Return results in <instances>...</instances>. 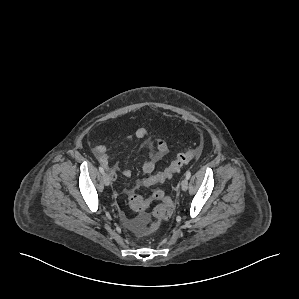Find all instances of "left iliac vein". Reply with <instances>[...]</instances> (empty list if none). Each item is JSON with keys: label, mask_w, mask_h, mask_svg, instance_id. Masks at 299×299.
Returning <instances> with one entry per match:
<instances>
[{"label": "left iliac vein", "mask_w": 299, "mask_h": 299, "mask_svg": "<svg viewBox=\"0 0 299 299\" xmlns=\"http://www.w3.org/2000/svg\"><path fill=\"white\" fill-rule=\"evenodd\" d=\"M188 188V179L187 178H184L181 182V189L183 191H186Z\"/></svg>", "instance_id": "obj_1"}]
</instances>
